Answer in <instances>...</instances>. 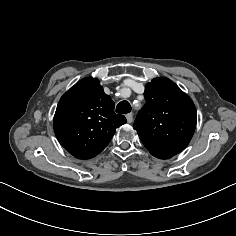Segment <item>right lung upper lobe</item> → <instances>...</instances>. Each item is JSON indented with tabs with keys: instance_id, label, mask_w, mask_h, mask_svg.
<instances>
[{
	"instance_id": "right-lung-upper-lobe-1",
	"label": "right lung upper lobe",
	"mask_w": 236,
	"mask_h": 236,
	"mask_svg": "<svg viewBox=\"0 0 236 236\" xmlns=\"http://www.w3.org/2000/svg\"><path fill=\"white\" fill-rule=\"evenodd\" d=\"M114 102L97 78L76 83L60 99L54 115V132L60 144L78 159L102 152L115 129L127 122L114 113Z\"/></svg>"
}]
</instances>
